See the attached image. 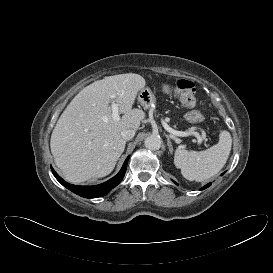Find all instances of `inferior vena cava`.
I'll return each mask as SVG.
<instances>
[{
  "label": "inferior vena cava",
  "instance_id": "1",
  "mask_svg": "<svg viewBox=\"0 0 273 273\" xmlns=\"http://www.w3.org/2000/svg\"><path fill=\"white\" fill-rule=\"evenodd\" d=\"M135 135V131L132 129L123 130L121 136L124 140H131Z\"/></svg>",
  "mask_w": 273,
  "mask_h": 273
}]
</instances>
